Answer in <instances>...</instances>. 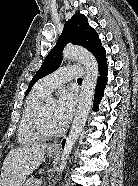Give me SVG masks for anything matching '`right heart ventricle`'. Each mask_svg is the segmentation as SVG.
Instances as JSON below:
<instances>
[{"label":"right heart ventricle","instance_id":"e07e8e85","mask_svg":"<svg viewBox=\"0 0 138 186\" xmlns=\"http://www.w3.org/2000/svg\"><path fill=\"white\" fill-rule=\"evenodd\" d=\"M49 93L39 81L28 96L17 130V139L21 145L28 146L41 140L31 132L29 120L34 110L48 97Z\"/></svg>","mask_w":138,"mask_h":186}]
</instances>
